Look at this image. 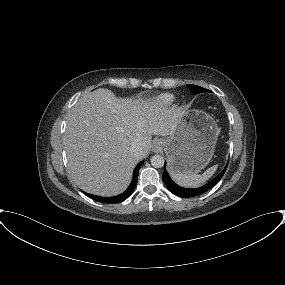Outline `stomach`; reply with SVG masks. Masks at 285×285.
Here are the masks:
<instances>
[{
  "label": "stomach",
  "instance_id": "stomach-1",
  "mask_svg": "<svg viewBox=\"0 0 285 285\" xmlns=\"http://www.w3.org/2000/svg\"><path fill=\"white\" fill-rule=\"evenodd\" d=\"M182 117L175 131L161 139L171 174H196L212 160L219 128L207 113L192 110Z\"/></svg>",
  "mask_w": 285,
  "mask_h": 285
}]
</instances>
